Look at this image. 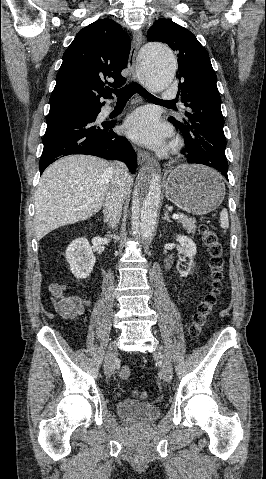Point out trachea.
Wrapping results in <instances>:
<instances>
[{"label": "trachea", "instance_id": "3493384b", "mask_svg": "<svg viewBox=\"0 0 266 479\" xmlns=\"http://www.w3.org/2000/svg\"><path fill=\"white\" fill-rule=\"evenodd\" d=\"M111 92H113L118 97L119 101L129 100L133 96V94L137 92L138 94L149 100L168 104L174 103L173 101H165L155 97L136 82H132L131 84L126 85L121 89H111Z\"/></svg>", "mask_w": 266, "mask_h": 479}]
</instances>
